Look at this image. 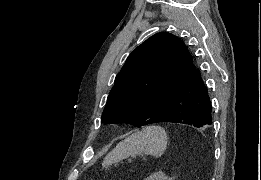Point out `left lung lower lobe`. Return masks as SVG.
Wrapping results in <instances>:
<instances>
[{
    "instance_id": "1",
    "label": "left lung lower lobe",
    "mask_w": 261,
    "mask_h": 180,
    "mask_svg": "<svg viewBox=\"0 0 261 180\" xmlns=\"http://www.w3.org/2000/svg\"><path fill=\"white\" fill-rule=\"evenodd\" d=\"M171 122L195 127L212 124V105L200 72L194 68L167 107L152 123Z\"/></svg>"
}]
</instances>
